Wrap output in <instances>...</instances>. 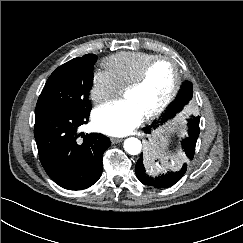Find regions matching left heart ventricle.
Here are the masks:
<instances>
[{"label":"left heart ventricle","mask_w":243,"mask_h":243,"mask_svg":"<svg viewBox=\"0 0 243 243\" xmlns=\"http://www.w3.org/2000/svg\"><path fill=\"white\" fill-rule=\"evenodd\" d=\"M174 80L175 70L172 63L158 62L151 68L145 82L139 88L128 91L125 98L131 100L146 116L165 101Z\"/></svg>","instance_id":"1"}]
</instances>
